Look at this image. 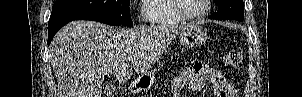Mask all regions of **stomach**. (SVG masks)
<instances>
[{
  "label": "stomach",
  "instance_id": "obj_1",
  "mask_svg": "<svg viewBox=\"0 0 302 97\" xmlns=\"http://www.w3.org/2000/svg\"><path fill=\"white\" fill-rule=\"evenodd\" d=\"M207 38L205 30L197 24H191L180 32V43L186 48L202 45ZM155 81V71H149L140 77V85L147 87Z\"/></svg>",
  "mask_w": 302,
  "mask_h": 97
}]
</instances>
